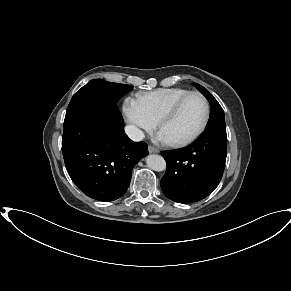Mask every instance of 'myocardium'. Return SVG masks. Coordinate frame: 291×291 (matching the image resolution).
Wrapping results in <instances>:
<instances>
[{"mask_svg": "<svg viewBox=\"0 0 291 291\" xmlns=\"http://www.w3.org/2000/svg\"><path fill=\"white\" fill-rule=\"evenodd\" d=\"M192 96H199L205 104V114L203 121L199 128L189 137L181 139V140H176V141H168V143L173 146V147H184L187 146L191 143H193L195 140H197L205 131L209 119H210V104L207 98L200 92L197 91H191L185 96H183L181 99H179L158 121V129L161 131L163 126L167 124L169 121L174 119L177 114L179 113L180 109L184 105V103Z\"/></svg>", "mask_w": 291, "mask_h": 291, "instance_id": "f54148a6", "label": "myocardium"}]
</instances>
